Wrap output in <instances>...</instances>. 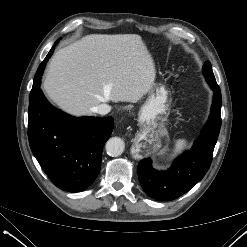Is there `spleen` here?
Listing matches in <instances>:
<instances>
[{
  "label": "spleen",
  "mask_w": 247,
  "mask_h": 247,
  "mask_svg": "<svg viewBox=\"0 0 247 247\" xmlns=\"http://www.w3.org/2000/svg\"><path fill=\"white\" fill-rule=\"evenodd\" d=\"M188 145V142L185 139H178L175 143L174 152L180 153L182 150H184Z\"/></svg>",
  "instance_id": "3e777b00"
}]
</instances>
